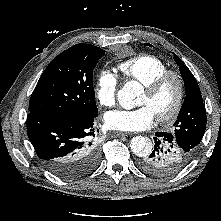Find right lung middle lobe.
<instances>
[{
    "instance_id": "1",
    "label": "right lung middle lobe",
    "mask_w": 221,
    "mask_h": 221,
    "mask_svg": "<svg viewBox=\"0 0 221 221\" xmlns=\"http://www.w3.org/2000/svg\"><path fill=\"white\" fill-rule=\"evenodd\" d=\"M105 54L89 44H76L54 58L42 73L29 102V112L92 115L98 112L93 70Z\"/></svg>"
}]
</instances>
